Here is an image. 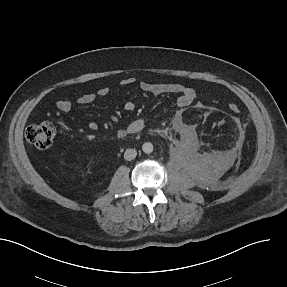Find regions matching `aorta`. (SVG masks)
I'll return each mask as SVG.
<instances>
[{"label": "aorta", "mask_w": 287, "mask_h": 287, "mask_svg": "<svg viewBox=\"0 0 287 287\" xmlns=\"http://www.w3.org/2000/svg\"><path fill=\"white\" fill-rule=\"evenodd\" d=\"M142 150H143V152L146 153V154L152 153V151H153V145H152V143H150V142L144 143L143 146H142Z\"/></svg>", "instance_id": "762f6f07"}]
</instances>
